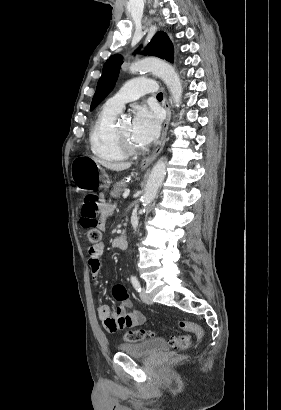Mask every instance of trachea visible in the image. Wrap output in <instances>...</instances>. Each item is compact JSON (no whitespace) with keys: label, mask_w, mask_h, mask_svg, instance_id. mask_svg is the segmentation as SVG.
Listing matches in <instances>:
<instances>
[{"label":"trachea","mask_w":281,"mask_h":410,"mask_svg":"<svg viewBox=\"0 0 281 410\" xmlns=\"http://www.w3.org/2000/svg\"><path fill=\"white\" fill-rule=\"evenodd\" d=\"M157 98H163V94H162V93H158V94H157Z\"/></svg>","instance_id":"trachea-1"}]
</instances>
